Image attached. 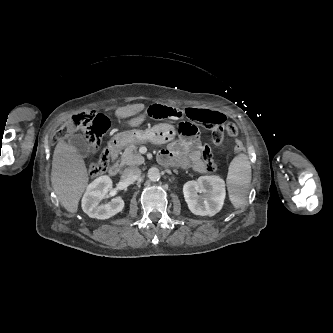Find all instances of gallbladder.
<instances>
[{"mask_svg":"<svg viewBox=\"0 0 333 333\" xmlns=\"http://www.w3.org/2000/svg\"><path fill=\"white\" fill-rule=\"evenodd\" d=\"M75 151L79 152V151H83L86 152L87 151V144H86V140L83 137H77L75 139Z\"/></svg>","mask_w":333,"mask_h":333,"instance_id":"obj_1","label":"gallbladder"}]
</instances>
